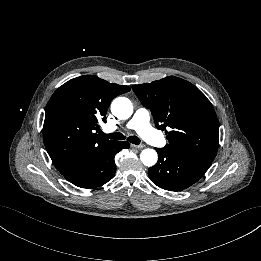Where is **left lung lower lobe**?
<instances>
[{
    "instance_id": "left-lung-lower-lobe-1",
    "label": "left lung lower lobe",
    "mask_w": 261,
    "mask_h": 261,
    "mask_svg": "<svg viewBox=\"0 0 261 261\" xmlns=\"http://www.w3.org/2000/svg\"><path fill=\"white\" fill-rule=\"evenodd\" d=\"M158 162L148 169L151 181L169 191H180L197 182L212 161L186 153L156 148Z\"/></svg>"
}]
</instances>
